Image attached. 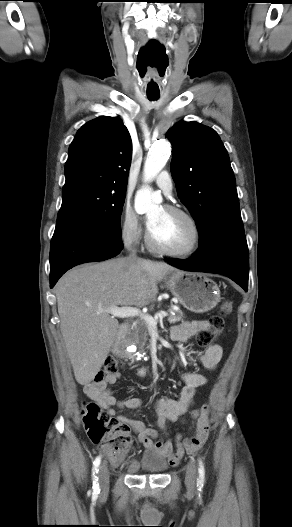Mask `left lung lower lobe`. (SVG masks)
<instances>
[{"instance_id":"1","label":"left lung lower lobe","mask_w":292,"mask_h":527,"mask_svg":"<svg viewBox=\"0 0 292 527\" xmlns=\"http://www.w3.org/2000/svg\"><path fill=\"white\" fill-rule=\"evenodd\" d=\"M183 270L217 273L248 290L249 254L246 238H223L199 247L190 259H166Z\"/></svg>"}]
</instances>
